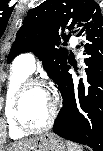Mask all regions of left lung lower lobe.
Instances as JSON below:
<instances>
[{"mask_svg":"<svg viewBox=\"0 0 103 151\" xmlns=\"http://www.w3.org/2000/svg\"><path fill=\"white\" fill-rule=\"evenodd\" d=\"M92 44H86L87 83L80 81L74 87L68 73L69 60L60 71L55 83L63 98L62 108L53 126L55 134L80 144H86L93 151L103 150V30H87Z\"/></svg>","mask_w":103,"mask_h":151,"instance_id":"0a47b994","label":"left lung lower lobe"}]
</instances>
